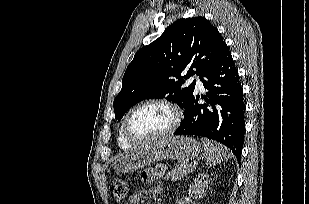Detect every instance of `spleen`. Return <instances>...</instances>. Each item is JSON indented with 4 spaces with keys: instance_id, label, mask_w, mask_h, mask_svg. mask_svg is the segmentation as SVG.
Segmentation results:
<instances>
[{
    "instance_id": "obj_1",
    "label": "spleen",
    "mask_w": 309,
    "mask_h": 204,
    "mask_svg": "<svg viewBox=\"0 0 309 204\" xmlns=\"http://www.w3.org/2000/svg\"><path fill=\"white\" fill-rule=\"evenodd\" d=\"M201 141L207 166L211 167L232 158L230 151L220 143L205 138H202Z\"/></svg>"
}]
</instances>
